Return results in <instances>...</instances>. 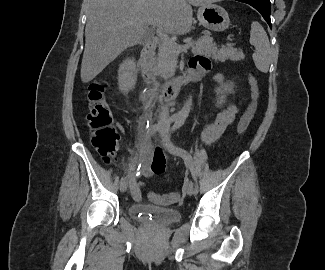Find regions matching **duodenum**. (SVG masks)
I'll list each match as a JSON object with an SVG mask.
<instances>
[{
    "label": "duodenum",
    "instance_id": "obj_1",
    "mask_svg": "<svg viewBox=\"0 0 325 270\" xmlns=\"http://www.w3.org/2000/svg\"><path fill=\"white\" fill-rule=\"evenodd\" d=\"M155 49V42H149L146 44L142 50L137 67L142 75L145 88L148 90L150 96L160 103H169L176 98L181 87L189 81V77L183 75L171 80L163 86H159L156 83L152 67ZM144 100L148 101V97H145Z\"/></svg>",
    "mask_w": 325,
    "mask_h": 270
}]
</instances>
